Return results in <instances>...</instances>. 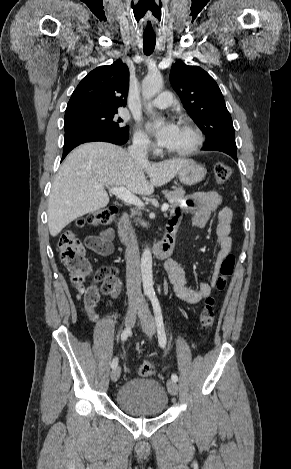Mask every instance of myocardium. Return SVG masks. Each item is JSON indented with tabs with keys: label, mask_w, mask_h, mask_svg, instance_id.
I'll list each match as a JSON object with an SVG mask.
<instances>
[{
	"label": "myocardium",
	"mask_w": 291,
	"mask_h": 469,
	"mask_svg": "<svg viewBox=\"0 0 291 469\" xmlns=\"http://www.w3.org/2000/svg\"><path fill=\"white\" fill-rule=\"evenodd\" d=\"M179 125L185 126V127L190 129V131L192 132L193 137H194L193 142L186 149H183V150H169V149H166V152L169 155H172V156H179V157L190 156V155L194 154L196 151H198L199 148L202 146V143H203L202 132L198 128V126L189 118H182L179 121Z\"/></svg>",
	"instance_id": "obj_1"
}]
</instances>
